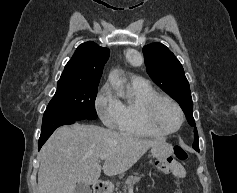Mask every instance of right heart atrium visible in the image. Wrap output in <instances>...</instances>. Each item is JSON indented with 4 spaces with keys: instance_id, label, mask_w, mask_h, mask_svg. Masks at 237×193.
<instances>
[{
    "instance_id": "right-heart-atrium-1",
    "label": "right heart atrium",
    "mask_w": 237,
    "mask_h": 193,
    "mask_svg": "<svg viewBox=\"0 0 237 193\" xmlns=\"http://www.w3.org/2000/svg\"><path fill=\"white\" fill-rule=\"evenodd\" d=\"M95 108L100 119L115 128L119 113V103L108 84L103 85L95 97Z\"/></svg>"
}]
</instances>
